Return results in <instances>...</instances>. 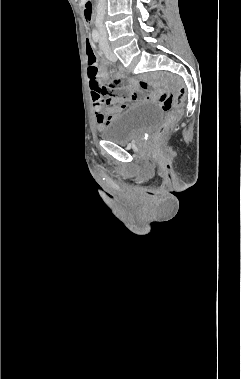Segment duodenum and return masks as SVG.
Wrapping results in <instances>:
<instances>
[{"label": "duodenum", "instance_id": "1", "mask_svg": "<svg viewBox=\"0 0 241 379\" xmlns=\"http://www.w3.org/2000/svg\"><path fill=\"white\" fill-rule=\"evenodd\" d=\"M84 15L88 21L93 18V4L91 0H85L84 2Z\"/></svg>", "mask_w": 241, "mask_h": 379}]
</instances>
